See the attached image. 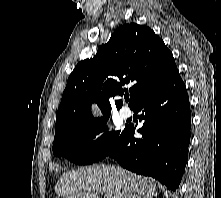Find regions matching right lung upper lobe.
<instances>
[{
  "label": "right lung upper lobe",
  "mask_w": 221,
  "mask_h": 198,
  "mask_svg": "<svg viewBox=\"0 0 221 198\" xmlns=\"http://www.w3.org/2000/svg\"><path fill=\"white\" fill-rule=\"evenodd\" d=\"M176 71L172 53L153 30L136 23L120 26L93 58L79 62L70 74L57 111L55 137L101 119L92 116V102L108 116L109 99L122 95L131 83L127 101L133 109ZM115 104L119 108L122 101Z\"/></svg>",
  "instance_id": "obj_1"
}]
</instances>
